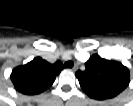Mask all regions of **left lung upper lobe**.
Wrapping results in <instances>:
<instances>
[{"mask_svg":"<svg viewBox=\"0 0 133 106\" xmlns=\"http://www.w3.org/2000/svg\"><path fill=\"white\" fill-rule=\"evenodd\" d=\"M85 67V71L78 70L75 75L83 91L93 99L113 98L129 84L130 72L120 62L94 54L85 63Z\"/></svg>","mask_w":133,"mask_h":106,"instance_id":"obj_1","label":"left lung upper lobe"}]
</instances>
